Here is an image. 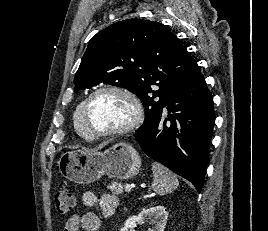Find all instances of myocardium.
Wrapping results in <instances>:
<instances>
[{
  "mask_svg": "<svg viewBox=\"0 0 268 231\" xmlns=\"http://www.w3.org/2000/svg\"><path fill=\"white\" fill-rule=\"evenodd\" d=\"M103 92L118 94L124 99H126L131 105L132 116L126 124L118 128L108 129L104 131H95L92 130L89 125L88 109L93 98ZM143 117H144L143 106L139 98L132 91L118 86L107 85L95 89L88 95V97L85 99L82 105L83 124L89 138L123 136L138 128L143 121Z\"/></svg>",
  "mask_w": 268,
  "mask_h": 231,
  "instance_id": "myocardium-1",
  "label": "myocardium"
}]
</instances>
